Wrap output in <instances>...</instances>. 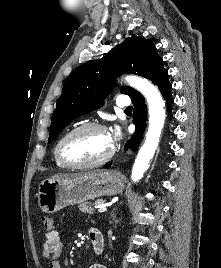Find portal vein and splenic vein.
I'll return each instance as SVG.
<instances>
[{
  "instance_id": "portal-vein-and-splenic-vein-1",
  "label": "portal vein and splenic vein",
  "mask_w": 221,
  "mask_h": 268,
  "mask_svg": "<svg viewBox=\"0 0 221 268\" xmlns=\"http://www.w3.org/2000/svg\"><path fill=\"white\" fill-rule=\"evenodd\" d=\"M97 208H98L99 213H103V212L107 211V208L105 205H99V206H97Z\"/></svg>"
}]
</instances>
